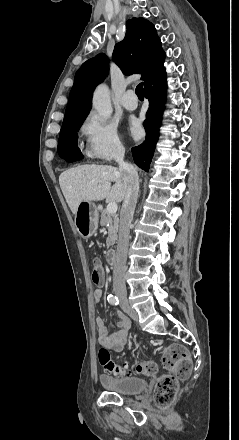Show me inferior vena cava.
<instances>
[{"mask_svg": "<svg viewBox=\"0 0 239 440\" xmlns=\"http://www.w3.org/2000/svg\"><path fill=\"white\" fill-rule=\"evenodd\" d=\"M124 154L125 150L124 148H121V150H117L115 156V160L117 164H119V170L122 172V180H124L126 194L120 214L118 244L113 270V290L117 295V298H119V307H130L128 299L126 298L127 294L125 293L126 286L124 276L126 270L130 226L133 220L139 190V178L134 166L124 162Z\"/></svg>", "mask_w": 239, "mask_h": 440, "instance_id": "obj_1", "label": "inferior vena cava"}]
</instances>
